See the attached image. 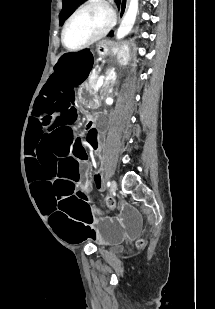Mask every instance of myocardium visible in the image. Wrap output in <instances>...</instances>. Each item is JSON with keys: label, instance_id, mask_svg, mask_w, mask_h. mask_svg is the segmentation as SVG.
<instances>
[{"label": "myocardium", "instance_id": "f54148a6", "mask_svg": "<svg viewBox=\"0 0 215 309\" xmlns=\"http://www.w3.org/2000/svg\"><path fill=\"white\" fill-rule=\"evenodd\" d=\"M87 11H99L103 14H106L105 19L106 22L101 23L100 27H96L93 32V37L89 38L87 41L77 45V46H70L66 42V33L71 25V23L78 17L80 14L87 12ZM115 12L113 9H109L107 6L102 4H89L80 7L77 9L65 22L62 31H61V42L64 48H89L94 42L99 40L100 38L106 37V30L109 32L113 26L115 25Z\"/></svg>", "mask_w": 215, "mask_h": 309}]
</instances>
